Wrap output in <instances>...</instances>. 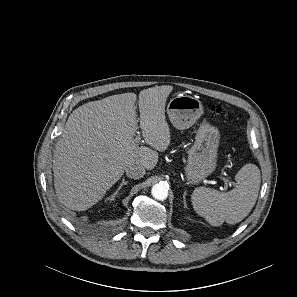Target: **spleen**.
<instances>
[{"mask_svg":"<svg viewBox=\"0 0 297 297\" xmlns=\"http://www.w3.org/2000/svg\"><path fill=\"white\" fill-rule=\"evenodd\" d=\"M235 179L238 186L227 193L206 187L194 190L191 196L193 208L210 225L239 223L254 207L261 183L259 168L251 163L246 164L238 171Z\"/></svg>","mask_w":297,"mask_h":297,"instance_id":"spleen-1","label":"spleen"}]
</instances>
